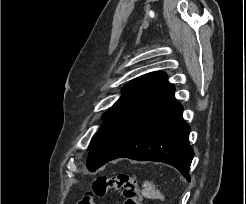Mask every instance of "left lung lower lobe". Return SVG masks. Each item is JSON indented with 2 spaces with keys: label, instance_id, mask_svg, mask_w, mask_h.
<instances>
[{
  "label": "left lung lower lobe",
  "instance_id": "0a47b994",
  "mask_svg": "<svg viewBox=\"0 0 246 204\" xmlns=\"http://www.w3.org/2000/svg\"><path fill=\"white\" fill-rule=\"evenodd\" d=\"M173 92L174 86L166 85L109 126L89 150L88 169L95 171L110 160L126 157L170 164L190 181L194 156L190 126Z\"/></svg>",
  "mask_w": 246,
  "mask_h": 204
}]
</instances>
